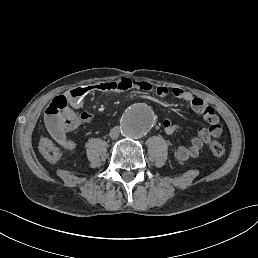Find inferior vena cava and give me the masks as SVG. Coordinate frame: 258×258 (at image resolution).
<instances>
[{"mask_svg": "<svg viewBox=\"0 0 258 258\" xmlns=\"http://www.w3.org/2000/svg\"><path fill=\"white\" fill-rule=\"evenodd\" d=\"M120 127L119 126H115L111 129L109 135L112 139H116L118 138L119 134H120Z\"/></svg>", "mask_w": 258, "mask_h": 258, "instance_id": "1", "label": "inferior vena cava"}]
</instances>
